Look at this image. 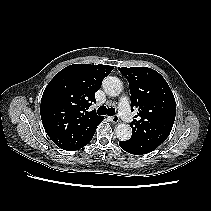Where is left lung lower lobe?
Segmentation results:
<instances>
[{
	"label": "left lung lower lobe",
	"mask_w": 211,
	"mask_h": 211,
	"mask_svg": "<svg viewBox=\"0 0 211 211\" xmlns=\"http://www.w3.org/2000/svg\"><path fill=\"white\" fill-rule=\"evenodd\" d=\"M119 145L122 149H124L126 152L134 154V155H142L149 153L155 148L143 144V143H134L133 141H119Z\"/></svg>",
	"instance_id": "left-lung-lower-lobe-1"
}]
</instances>
